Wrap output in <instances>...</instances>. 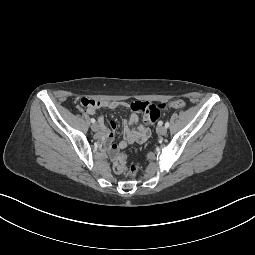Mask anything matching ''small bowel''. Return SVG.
<instances>
[{
  "mask_svg": "<svg viewBox=\"0 0 255 255\" xmlns=\"http://www.w3.org/2000/svg\"><path fill=\"white\" fill-rule=\"evenodd\" d=\"M121 106H127V103L119 101H97V105L88 106L86 112L90 115H95L98 108L100 107L116 109ZM131 107L134 111H142L145 113L144 121L146 123V126L138 125V114L136 112L132 113L129 121H126L123 126L124 141H122L118 145L113 144L116 123L111 120L110 127H106L104 125L103 117H98V121L100 124L99 138L105 143H107L113 152L118 149L125 148L133 143L144 142L151 134V129L149 125L157 119L161 118L162 114H166L171 110V105L168 102H163L158 105L149 102L134 101L131 104Z\"/></svg>",
  "mask_w": 255,
  "mask_h": 255,
  "instance_id": "c3829d8e",
  "label": "small bowel"
}]
</instances>
